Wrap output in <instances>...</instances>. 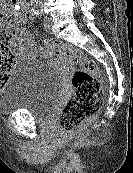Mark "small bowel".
Here are the masks:
<instances>
[{"label": "small bowel", "mask_w": 133, "mask_h": 173, "mask_svg": "<svg viewBox=\"0 0 133 173\" xmlns=\"http://www.w3.org/2000/svg\"><path fill=\"white\" fill-rule=\"evenodd\" d=\"M17 19L21 20L20 17ZM13 52L16 55L32 58L36 55V42L32 33L24 32L20 34L17 41L13 45Z\"/></svg>", "instance_id": "c3829d8e"}]
</instances>
